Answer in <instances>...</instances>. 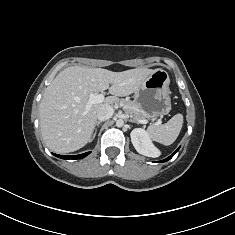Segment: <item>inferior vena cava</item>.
<instances>
[{
  "label": "inferior vena cava",
  "instance_id": "1",
  "mask_svg": "<svg viewBox=\"0 0 235 235\" xmlns=\"http://www.w3.org/2000/svg\"><path fill=\"white\" fill-rule=\"evenodd\" d=\"M114 114V109L112 106L104 105L97 112V118L100 121H105L110 119Z\"/></svg>",
  "mask_w": 235,
  "mask_h": 235
}]
</instances>
